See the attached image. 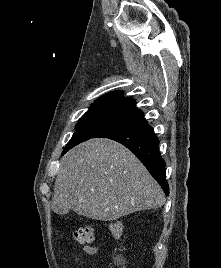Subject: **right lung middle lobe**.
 Segmentation results:
<instances>
[{"mask_svg":"<svg viewBox=\"0 0 221 268\" xmlns=\"http://www.w3.org/2000/svg\"><path fill=\"white\" fill-rule=\"evenodd\" d=\"M124 122L126 121L123 117L111 113L103 111L86 112L77 123V131L66 145L62 154L66 153L69 149L77 144Z\"/></svg>","mask_w":221,"mask_h":268,"instance_id":"dd1d6c3e","label":"right lung middle lobe"}]
</instances>
